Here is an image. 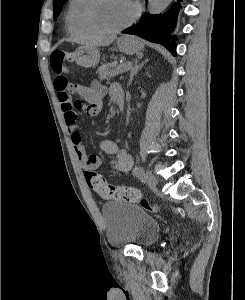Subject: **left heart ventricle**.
<instances>
[{"label": "left heart ventricle", "instance_id": "obj_1", "mask_svg": "<svg viewBox=\"0 0 245 300\" xmlns=\"http://www.w3.org/2000/svg\"><path fill=\"white\" fill-rule=\"evenodd\" d=\"M133 14L130 0H97L91 11L93 22L104 29H113L126 23Z\"/></svg>", "mask_w": 245, "mask_h": 300}]
</instances>
